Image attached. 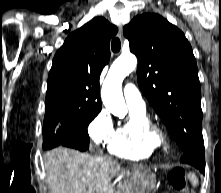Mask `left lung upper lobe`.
Instances as JSON below:
<instances>
[{
    "label": "left lung upper lobe",
    "instance_id": "obj_1",
    "mask_svg": "<svg viewBox=\"0 0 221 193\" xmlns=\"http://www.w3.org/2000/svg\"><path fill=\"white\" fill-rule=\"evenodd\" d=\"M123 33L138 58L141 91L182 152L203 146L197 64L183 32L162 16L146 13L134 17Z\"/></svg>",
    "mask_w": 221,
    "mask_h": 193
}]
</instances>
